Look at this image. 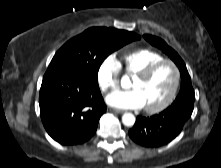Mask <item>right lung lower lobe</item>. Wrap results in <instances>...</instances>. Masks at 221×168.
Returning a JSON list of instances; mask_svg holds the SVG:
<instances>
[{"mask_svg":"<svg viewBox=\"0 0 221 168\" xmlns=\"http://www.w3.org/2000/svg\"><path fill=\"white\" fill-rule=\"evenodd\" d=\"M39 105L47 133L63 145L88 141L106 112L98 83L75 73L46 72Z\"/></svg>","mask_w":221,"mask_h":168,"instance_id":"right-lung-lower-lobe-1","label":"right lung lower lobe"}]
</instances>
